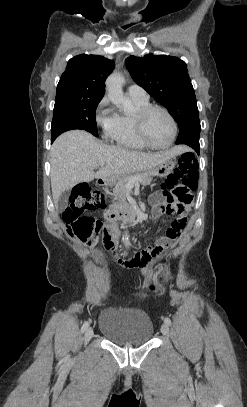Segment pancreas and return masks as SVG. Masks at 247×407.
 Returning a JSON list of instances; mask_svg holds the SVG:
<instances>
[{"instance_id":"obj_1","label":"pancreas","mask_w":247,"mask_h":407,"mask_svg":"<svg viewBox=\"0 0 247 407\" xmlns=\"http://www.w3.org/2000/svg\"><path fill=\"white\" fill-rule=\"evenodd\" d=\"M129 179H134V182H139L143 186L150 185L152 182V177L148 173H137L122 177L113 188L115 206L130 207L126 201L128 195L127 181Z\"/></svg>"}]
</instances>
